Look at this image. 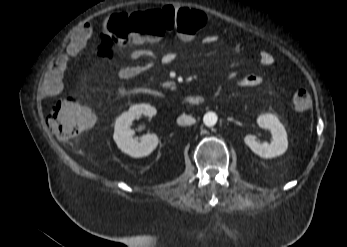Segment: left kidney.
<instances>
[{"mask_svg":"<svg viewBox=\"0 0 347 247\" xmlns=\"http://www.w3.org/2000/svg\"><path fill=\"white\" fill-rule=\"evenodd\" d=\"M259 127L270 130L273 140L271 143L257 142L252 135H246L244 142L249 148L262 158H274L282 155L288 148L287 132L273 114H263L257 119Z\"/></svg>","mask_w":347,"mask_h":247,"instance_id":"1","label":"left kidney"}]
</instances>
